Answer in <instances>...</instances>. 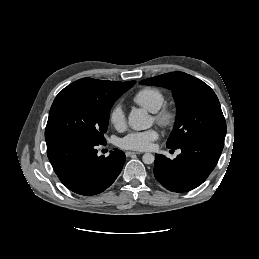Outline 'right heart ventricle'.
Masks as SVG:
<instances>
[{
  "label": "right heart ventricle",
  "instance_id": "e07e8e85",
  "mask_svg": "<svg viewBox=\"0 0 259 259\" xmlns=\"http://www.w3.org/2000/svg\"><path fill=\"white\" fill-rule=\"evenodd\" d=\"M133 101L141 107L155 112L164 104L165 95L158 88L145 87L136 92L133 96Z\"/></svg>",
  "mask_w": 259,
  "mask_h": 259
}]
</instances>
